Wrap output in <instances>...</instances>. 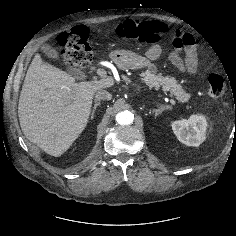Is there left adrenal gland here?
I'll return each instance as SVG.
<instances>
[{"label":"left adrenal gland","instance_id":"1","mask_svg":"<svg viewBox=\"0 0 236 236\" xmlns=\"http://www.w3.org/2000/svg\"><path fill=\"white\" fill-rule=\"evenodd\" d=\"M171 109V106L161 105L158 109H153L152 112L155 113V117L161 114L164 110Z\"/></svg>","mask_w":236,"mask_h":236}]
</instances>
